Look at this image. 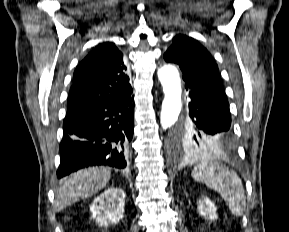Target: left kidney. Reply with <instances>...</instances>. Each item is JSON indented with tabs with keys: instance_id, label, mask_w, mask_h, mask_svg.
I'll return each instance as SVG.
<instances>
[{
	"instance_id": "obj_1",
	"label": "left kidney",
	"mask_w": 289,
	"mask_h": 232,
	"mask_svg": "<svg viewBox=\"0 0 289 232\" xmlns=\"http://www.w3.org/2000/svg\"><path fill=\"white\" fill-rule=\"evenodd\" d=\"M198 212L201 216L208 220H215L218 218L217 207L208 197L202 196L199 199Z\"/></svg>"
}]
</instances>
